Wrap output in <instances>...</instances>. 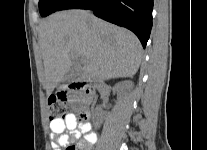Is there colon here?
Here are the masks:
<instances>
[{
	"label": "colon",
	"instance_id": "obj_1",
	"mask_svg": "<svg viewBox=\"0 0 207 150\" xmlns=\"http://www.w3.org/2000/svg\"><path fill=\"white\" fill-rule=\"evenodd\" d=\"M48 108H49L50 120L61 119L64 118L66 115V106L60 97L51 96L48 99ZM83 117H85L84 113L83 112L79 113V118L83 119ZM73 148L74 146H71L70 150H74Z\"/></svg>",
	"mask_w": 207,
	"mask_h": 150
}]
</instances>
